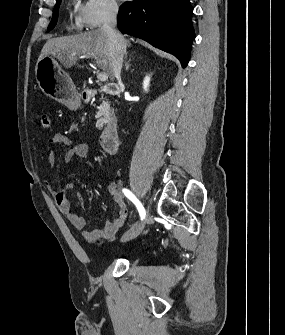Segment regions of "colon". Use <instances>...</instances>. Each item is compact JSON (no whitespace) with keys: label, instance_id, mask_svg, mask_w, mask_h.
Listing matches in <instances>:
<instances>
[{"label":"colon","instance_id":"1","mask_svg":"<svg viewBox=\"0 0 285 335\" xmlns=\"http://www.w3.org/2000/svg\"><path fill=\"white\" fill-rule=\"evenodd\" d=\"M39 121L43 129L49 130L51 128V118L47 112L43 111L40 113ZM98 242H100V240H98Z\"/></svg>","mask_w":285,"mask_h":335}]
</instances>
